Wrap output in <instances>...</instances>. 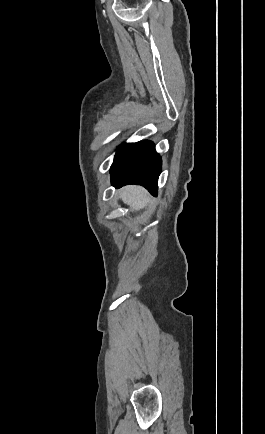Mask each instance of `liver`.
I'll use <instances>...</instances> for the list:
<instances>
[{
    "mask_svg": "<svg viewBox=\"0 0 265 434\" xmlns=\"http://www.w3.org/2000/svg\"><path fill=\"white\" fill-rule=\"evenodd\" d=\"M119 198L136 212L143 210L150 200L148 192L144 188H140V186H125V188L119 190Z\"/></svg>",
    "mask_w": 265,
    "mask_h": 434,
    "instance_id": "1",
    "label": "liver"
}]
</instances>
